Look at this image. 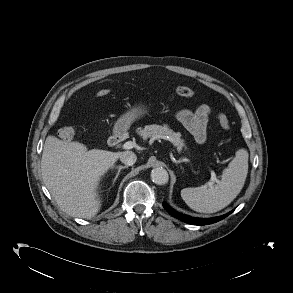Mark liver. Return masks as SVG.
<instances>
[{"label": "liver", "mask_w": 293, "mask_h": 293, "mask_svg": "<svg viewBox=\"0 0 293 293\" xmlns=\"http://www.w3.org/2000/svg\"><path fill=\"white\" fill-rule=\"evenodd\" d=\"M120 155L119 152L88 150L77 141H63L49 135L41 159L42 178L62 211L89 219L101 207L99 183Z\"/></svg>", "instance_id": "liver-1"}]
</instances>
